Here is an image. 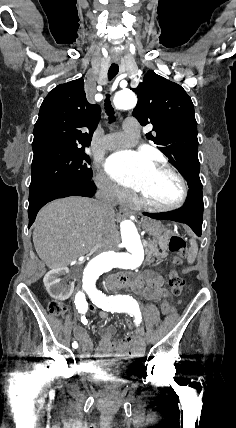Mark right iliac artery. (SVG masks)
I'll return each mask as SVG.
<instances>
[{
	"instance_id": "obj_1",
	"label": "right iliac artery",
	"mask_w": 236,
	"mask_h": 428,
	"mask_svg": "<svg viewBox=\"0 0 236 428\" xmlns=\"http://www.w3.org/2000/svg\"><path fill=\"white\" fill-rule=\"evenodd\" d=\"M74 302L76 305V309H78L79 313L85 314L87 312L88 303L86 302L84 293L78 292L75 296ZM72 347L76 349L78 347V343L77 342L72 343Z\"/></svg>"
}]
</instances>
